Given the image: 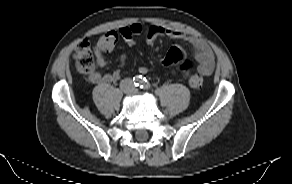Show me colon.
<instances>
[{"instance_id": "1", "label": "colon", "mask_w": 292, "mask_h": 184, "mask_svg": "<svg viewBox=\"0 0 292 184\" xmlns=\"http://www.w3.org/2000/svg\"><path fill=\"white\" fill-rule=\"evenodd\" d=\"M161 28L157 26H150L146 30V43L151 49H155L158 44V39L161 36ZM118 40L116 32H108L101 36L95 43L94 49L87 39L81 40L75 48V62L79 71L90 73L96 66L95 55L103 54L111 51ZM164 66L179 65L180 70L186 75L188 83L193 88H201L203 86V77L199 74H192V63L184 58L181 48L172 47L161 59Z\"/></svg>"}]
</instances>
